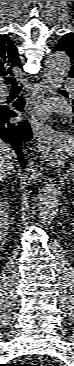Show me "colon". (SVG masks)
I'll return each mask as SVG.
<instances>
[{"instance_id": "obj_1", "label": "colon", "mask_w": 74, "mask_h": 366, "mask_svg": "<svg viewBox=\"0 0 74 366\" xmlns=\"http://www.w3.org/2000/svg\"><path fill=\"white\" fill-rule=\"evenodd\" d=\"M28 366H44V365L41 364V363H33V364L28 365Z\"/></svg>"}]
</instances>
